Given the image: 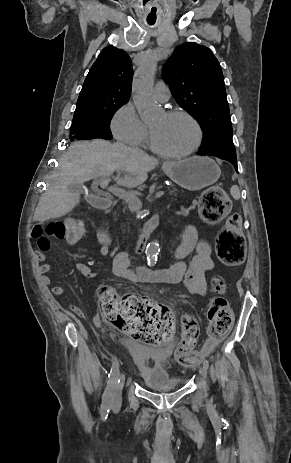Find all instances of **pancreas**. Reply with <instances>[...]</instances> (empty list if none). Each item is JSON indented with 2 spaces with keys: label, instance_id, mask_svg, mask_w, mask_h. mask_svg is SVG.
Returning a JSON list of instances; mask_svg holds the SVG:
<instances>
[{
  "label": "pancreas",
  "instance_id": "cf45deb5",
  "mask_svg": "<svg viewBox=\"0 0 291 463\" xmlns=\"http://www.w3.org/2000/svg\"><path fill=\"white\" fill-rule=\"evenodd\" d=\"M168 191H169V194L170 195H173V196H178V195H183V191H180L175 185L171 184L169 187H168Z\"/></svg>",
  "mask_w": 291,
  "mask_h": 463
}]
</instances>
